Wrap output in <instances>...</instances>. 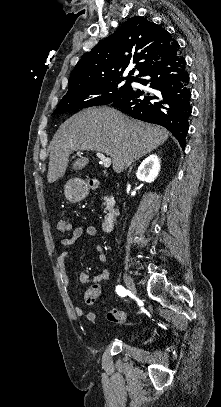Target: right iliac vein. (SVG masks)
<instances>
[{
    "mask_svg": "<svg viewBox=\"0 0 221 407\" xmlns=\"http://www.w3.org/2000/svg\"><path fill=\"white\" fill-rule=\"evenodd\" d=\"M124 281H125V284H126L128 290H129V292L132 295L136 296L137 295V290H136V287H135V284H134V281H133L131 275L128 274V273H125Z\"/></svg>",
    "mask_w": 221,
    "mask_h": 407,
    "instance_id": "1",
    "label": "right iliac vein"
}]
</instances>
